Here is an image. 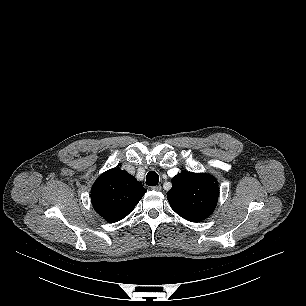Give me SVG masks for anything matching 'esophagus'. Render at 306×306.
Masks as SVG:
<instances>
[{"mask_svg":"<svg viewBox=\"0 0 306 306\" xmlns=\"http://www.w3.org/2000/svg\"><path fill=\"white\" fill-rule=\"evenodd\" d=\"M152 190L154 191H160L162 189L161 185L153 186L151 187Z\"/></svg>","mask_w":306,"mask_h":306,"instance_id":"1","label":"esophagus"}]
</instances>
